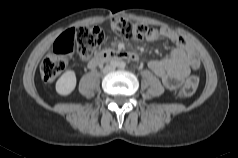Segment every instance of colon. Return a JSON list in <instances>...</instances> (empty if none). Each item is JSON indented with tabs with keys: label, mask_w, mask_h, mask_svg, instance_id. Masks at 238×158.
<instances>
[{
	"label": "colon",
	"mask_w": 238,
	"mask_h": 158,
	"mask_svg": "<svg viewBox=\"0 0 238 158\" xmlns=\"http://www.w3.org/2000/svg\"><path fill=\"white\" fill-rule=\"evenodd\" d=\"M110 28L125 39H142L153 34L154 29L149 26L124 18H114L110 22ZM104 39L103 31L98 27L81 26L67 30L55 42L53 52L42 62L40 67L41 77L46 82L55 80L67 67L69 57L76 50L81 59L91 57L94 50ZM198 69V64L192 66ZM199 85L196 75L189 77L178 96L180 98L190 97L195 93Z\"/></svg>",
	"instance_id": "5ec220e1"
}]
</instances>
